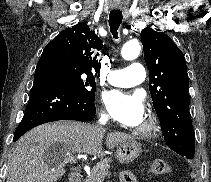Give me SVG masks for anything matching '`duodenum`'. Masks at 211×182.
<instances>
[{
	"label": "duodenum",
	"instance_id": "obj_1",
	"mask_svg": "<svg viewBox=\"0 0 211 182\" xmlns=\"http://www.w3.org/2000/svg\"><path fill=\"white\" fill-rule=\"evenodd\" d=\"M82 177L83 175L80 171H73L69 176V182H81Z\"/></svg>",
	"mask_w": 211,
	"mask_h": 182
}]
</instances>
